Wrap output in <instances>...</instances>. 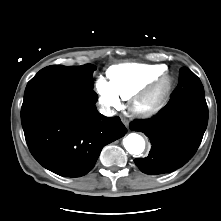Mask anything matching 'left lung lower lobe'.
Here are the masks:
<instances>
[{
    "instance_id": "0a47b994",
    "label": "left lung lower lobe",
    "mask_w": 221,
    "mask_h": 221,
    "mask_svg": "<svg viewBox=\"0 0 221 221\" xmlns=\"http://www.w3.org/2000/svg\"><path fill=\"white\" fill-rule=\"evenodd\" d=\"M208 123V107L200 79L188 68L179 71V83L168 104L147 120H134L133 131L143 132L152 144L146 158L135 164L146 174L172 172L197 151Z\"/></svg>"
}]
</instances>
